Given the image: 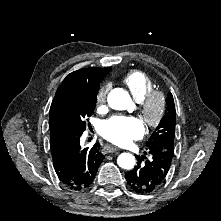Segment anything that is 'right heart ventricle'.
<instances>
[{"label":"right heart ventricle","mask_w":221,"mask_h":221,"mask_svg":"<svg viewBox=\"0 0 221 221\" xmlns=\"http://www.w3.org/2000/svg\"><path fill=\"white\" fill-rule=\"evenodd\" d=\"M121 82L128 88L133 98L139 102L154 89V82L149 74L138 69L124 74Z\"/></svg>","instance_id":"obj_1"}]
</instances>
